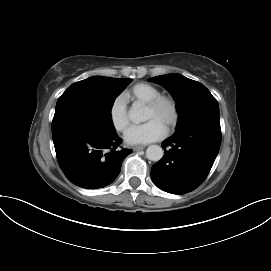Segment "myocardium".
I'll list each match as a JSON object with an SVG mask.
<instances>
[{"mask_svg":"<svg viewBox=\"0 0 271 271\" xmlns=\"http://www.w3.org/2000/svg\"><path fill=\"white\" fill-rule=\"evenodd\" d=\"M163 104H167L171 109V117L166 127L167 131H171L175 128L179 120V107L174 97L160 94L148 101L145 106L151 110H156Z\"/></svg>","mask_w":271,"mask_h":271,"instance_id":"f54148a6","label":"myocardium"}]
</instances>
